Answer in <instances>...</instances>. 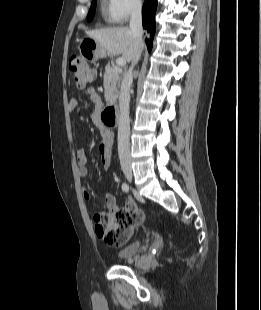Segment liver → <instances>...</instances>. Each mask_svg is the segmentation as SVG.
Masks as SVG:
<instances>
[{"label": "liver", "mask_w": 261, "mask_h": 310, "mask_svg": "<svg viewBox=\"0 0 261 310\" xmlns=\"http://www.w3.org/2000/svg\"><path fill=\"white\" fill-rule=\"evenodd\" d=\"M87 35L96 40L102 47L104 53L120 55L127 62L132 61L142 45L133 36L128 27H112L95 31H88Z\"/></svg>", "instance_id": "1"}]
</instances>
